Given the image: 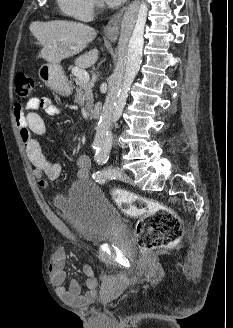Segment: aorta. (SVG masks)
<instances>
[{
  "instance_id": "762f6f07",
  "label": "aorta",
  "mask_w": 233,
  "mask_h": 328,
  "mask_svg": "<svg viewBox=\"0 0 233 328\" xmlns=\"http://www.w3.org/2000/svg\"><path fill=\"white\" fill-rule=\"evenodd\" d=\"M146 4L133 1L122 18L118 43V60L109 78V89L96 127L94 145L100 150L112 147V125L119 120L126 104L128 91L142 62Z\"/></svg>"
}]
</instances>
